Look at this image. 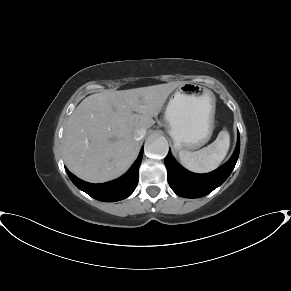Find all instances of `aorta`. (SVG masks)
<instances>
[{
  "label": "aorta",
  "instance_id": "762f6f07",
  "mask_svg": "<svg viewBox=\"0 0 291 291\" xmlns=\"http://www.w3.org/2000/svg\"><path fill=\"white\" fill-rule=\"evenodd\" d=\"M168 150V142L162 136L151 137L145 143V153L150 158L162 159L167 155Z\"/></svg>",
  "mask_w": 291,
  "mask_h": 291
}]
</instances>
